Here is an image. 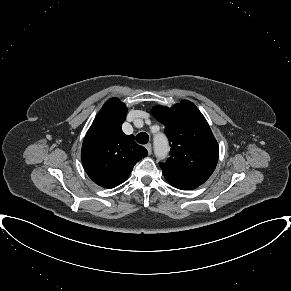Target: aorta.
<instances>
[{
	"instance_id": "obj_1",
	"label": "aorta",
	"mask_w": 291,
	"mask_h": 291,
	"mask_svg": "<svg viewBox=\"0 0 291 291\" xmlns=\"http://www.w3.org/2000/svg\"><path fill=\"white\" fill-rule=\"evenodd\" d=\"M154 152L160 160L166 158L169 153L168 140L162 133L154 136Z\"/></svg>"
}]
</instances>
